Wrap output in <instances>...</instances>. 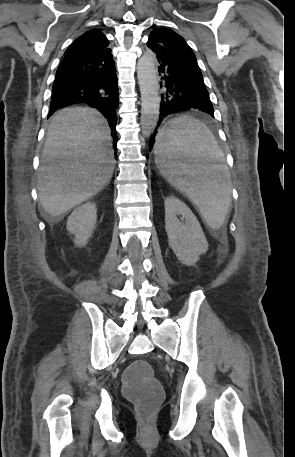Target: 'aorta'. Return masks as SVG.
<instances>
[{
  "instance_id": "1",
  "label": "aorta",
  "mask_w": 295,
  "mask_h": 457,
  "mask_svg": "<svg viewBox=\"0 0 295 457\" xmlns=\"http://www.w3.org/2000/svg\"><path fill=\"white\" fill-rule=\"evenodd\" d=\"M137 77L141 92V129L143 135H150L154 130L160 110L159 82L156 57L146 52L137 63Z\"/></svg>"
}]
</instances>
